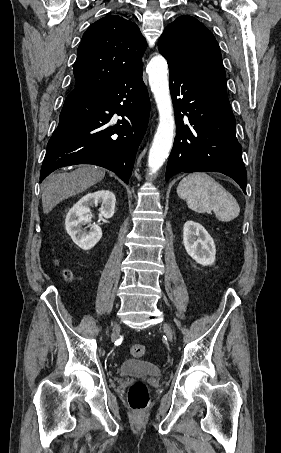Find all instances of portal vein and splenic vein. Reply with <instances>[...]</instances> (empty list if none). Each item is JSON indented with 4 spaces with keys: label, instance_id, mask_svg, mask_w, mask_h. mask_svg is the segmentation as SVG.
<instances>
[{
    "label": "portal vein and splenic vein",
    "instance_id": "1",
    "mask_svg": "<svg viewBox=\"0 0 281 453\" xmlns=\"http://www.w3.org/2000/svg\"><path fill=\"white\" fill-rule=\"evenodd\" d=\"M206 214H207V215H212V214L214 215L215 213H214V212L212 213V212H208V211H207Z\"/></svg>",
    "mask_w": 281,
    "mask_h": 453
}]
</instances>
